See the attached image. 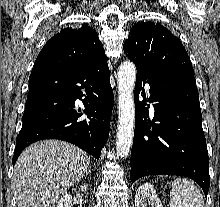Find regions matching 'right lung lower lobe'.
<instances>
[{
  "instance_id": "1",
  "label": "right lung lower lobe",
  "mask_w": 220,
  "mask_h": 207,
  "mask_svg": "<svg viewBox=\"0 0 220 207\" xmlns=\"http://www.w3.org/2000/svg\"><path fill=\"white\" fill-rule=\"evenodd\" d=\"M29 82L13 165L25 147L43 139L73 143L99 159L114 101L107 57L73 71L35 70ZM77 99L83 108L75 105Z\"/></svg>"
}]
</instances>
